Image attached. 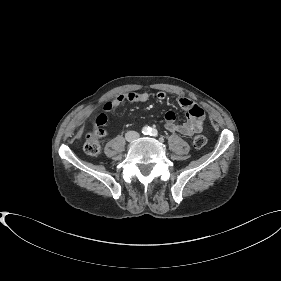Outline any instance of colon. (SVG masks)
Returning <instances> with one entry per match:
<instances>
[{
	"label": "colon",
	"instance_id": "obj_1",
	"mask_svg": "<svg viewBox=\"0 0 281 281\" xmlns=\"http://www.w3.org/2000/svg\"><path fill=\"white\" fill-rule=\"evenodd\" d=\"M107 123V116L105 114H99L92 121L91 128L86 135V142L84 144V150L88 155L97 156L101 152L100 139L105 136V125ZM206 144V138L203 135L195 136L193 145L196 148H202Z\"/></svg>",
	"mask_w": 281,
	"mask_h": 281
}]
</instances>
